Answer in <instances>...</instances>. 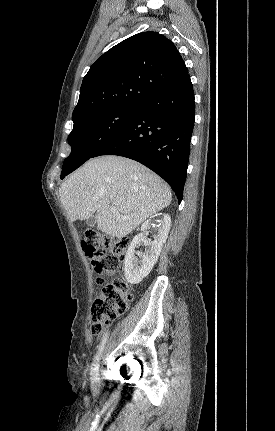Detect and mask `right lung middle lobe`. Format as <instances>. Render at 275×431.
Masks as SVG:
<instances>
[{
	"instance_id": "obj_1",
	"label": "right lung middle lobe",
	"mask_w": 275,
	"mask_h": 431,
	"mask_svg": "<svg viewBox=\"0 0 275 431\" xmlns=\"http://www.w3.org/2000/svg\"><path fill=\"white\" fill-rule=\"evenodd\" d=\"M138 107L117 106L89 113L76 121L68 142L71 153L63 163L61 179L81 166L134 118Z\"/></svg>"
}]
</instances>
